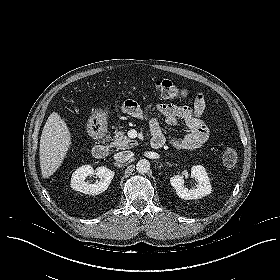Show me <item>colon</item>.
I'll use <instances>...</instances> for the list:
<instances>
[{
  "label": "colon",
  "instance_id": "colon-1",
  "mask_svg": "<svg viewBox=\"0 0 280 280\" xmlns=\"http://www.w3.org/2000/svg\"><path fill=\"white\" fill-rule=\"evenodd\" d=\"M155 91L162 98H187L191 96V92L186 89L177 87L172 81L166 79H158L155 82ZM130 105L128 102L124 107ZM222 163L226 167H232L236 164L238 153L235 148L226 147L222 151Z\"/></svg>",
  "mask_w": 280,
  "mask_h": 280
}]
</instances>
